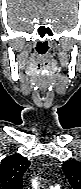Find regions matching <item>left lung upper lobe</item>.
<instances>
[{
	"label": "left lung upper lobe",
	"instance_id": "left-lung-upper-lobe-1",
	"mask_svg": "<svg viewBox=\"0 0 81 189\" xmlns=\"http://www.w3.org/2000/svg\"><path fill=\"white\" fill-rule=\"evenodd\" d=\"M63 171L74 189H81V162L69 160L64 162Z\"/></svg>",
	"mask_w": 81,
	"mask_h": 189
}]
</instances>
